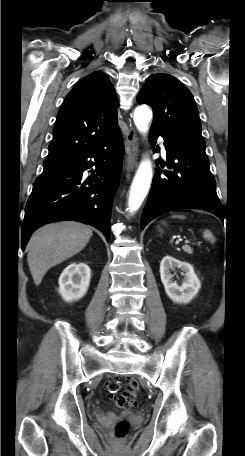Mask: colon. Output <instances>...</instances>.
<instances>
[{
	"instance_id": "colon-1",
	"label": "colon",
	"mask_w": 245,
	"mask_h": 456,
	"mask_svg": "<svg viewBox=\"0 0 245 456\" xmlns=\"http://www.w3.org/2000/svg\"><path fill=\"white\" fill-rule=\"evenodd\" d=\"M108 396L115 404L123 409H129L137 404L138 384L132 379L122 383L118 378H110L106 383ZM128 423L125 421L118 422L113 430L116 438L122 439L128 430Z\"/></svg>"
}]
</instances>
